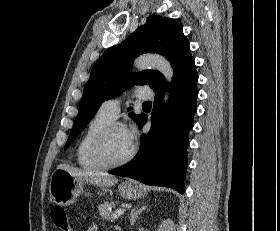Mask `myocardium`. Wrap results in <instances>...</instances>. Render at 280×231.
<instances>
[{"label":"myocardium","mask_w":280,"mask_h":231,"mask_svg":"<svg viewBox=\"0 0 280 231\" xmlns=\"http://www.w3.org/2000/svg\"><path fill=\"white\" fill-rule=\"evenodd\" d=\"M116 127H123V125L120 122L112 121L108 123L95 137L92 145H91V157L92 159L101 164L105 168H114V167H120L125 164H127L129 161L132 160L135 150L134 148H131V150L128 152V154L123 157L120 160H110L107 158L105 154V143L108 138V135L110 134L111 130Z\"/></svg>","instance_id":"f54148a6"}]
</instances>
